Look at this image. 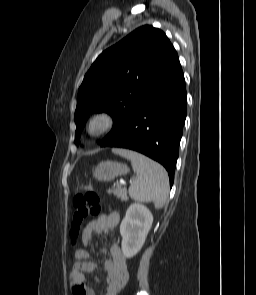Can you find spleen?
I'll return each instance as SVG.
<instances>
[{
	"label": "spleen",
	"mask_w": 256,
	"mask_h": 295,
	"mask_svg": "<svg viewBox=\"0 0 256 295\" xmlns=\"http://www.w3.org/2000/svg\"><path fill=\"white\" fill-rule=\"evenodd\" d=\"M131 161L137 178L129 188V195L139 202H153L156 209L164 206L169 192L166 170L148 157L131 150H116Z\"/></svg>",
	"instance_id": "obj_1"
}]
</instances>
